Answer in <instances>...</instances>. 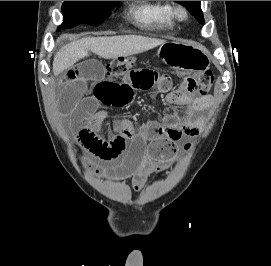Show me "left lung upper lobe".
<instances>
[{"label":"left lung upper lobe","mask_w":271,"mask_h":266,"mask_svg":"<svg viewBox=\"0 0 271 266\" xmlns=\"http://www.w3.org/2000/svg\"><path fill=\"white\" fill-rule=\"evenodd\" d=\"M185 6L188 11L198 20L199 23H204L203 12L201 10L200 1H176Z\"/></svg>","instance_id":"obj_1"}]
</instances>
